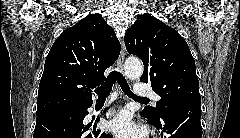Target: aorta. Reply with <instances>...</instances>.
I'll list each match as a JSON object with an SVG mask.
<instances>
[{
    "label": "aorta",
    "mask_w": 240,
    "mask_h": 138,
    "mask_svg": "<svg viewBox=\"0 0 240 138\" xmlns=\"http://www.w3.org/2000/svg\"><path fill=\"white\" fill-rule=\"evenodd\" d=\"M124 71L129 79H138L143 73V64L137 58H128L125 61Z\"/></svg>",
    "instance_id": "aorta-1"
}]
</instances>
